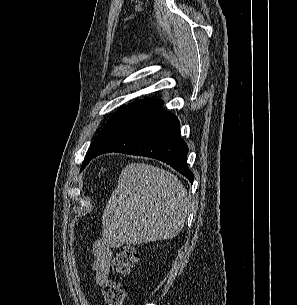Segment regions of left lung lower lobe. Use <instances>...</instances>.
<instances>
[{"instance_id": "1", "label": "left lung lower lobe", "mask_w": 297, "mask_h": 305, "mask_svg": "<svg viewBox=\"0 0 297 305\" xmlns=\"http://www.w3.org/2000/svg\"><path fill=\"white\" fill-rule=\"evenodd\" d=\"M162 104L158 99H144L124 108L89 161L108 152L151 157L169 164L193 183L186 162L188 146L180 138L179 121L162 110Z\"/></svg>"}]
</instances>
